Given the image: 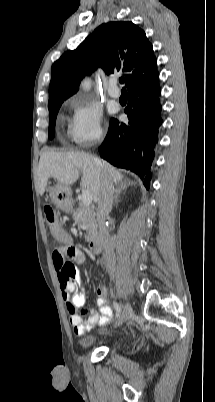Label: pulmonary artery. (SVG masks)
Masks as SVG:
<instances>
[{"instance_id": "1", "label": "pulmonary artery", "mask_w": 215, "mask_h": 402, "mask_svg": "<svg viewBox=\"0 0 215 402\" xmlns=\"http://www.w3.org/2000/svg\"><path fill=\"white\" fill-rule=\"evenodd\" d=\"M108 93L113 98H119L121 95L120 89L117 87V79L111 78L108 85Z\"/></svg>"}]
</instances>
